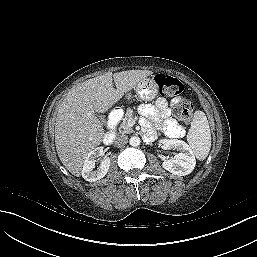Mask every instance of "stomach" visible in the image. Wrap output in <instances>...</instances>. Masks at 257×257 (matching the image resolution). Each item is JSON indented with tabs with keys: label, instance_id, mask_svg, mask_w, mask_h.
I'll list each match as a JSON object with an SVG mask.
<instances>
[{
	"label": "stomach",
	"instance_id": "obj_1",
	"mask_svg": "<svg viewBox=\"0 0 257 257\" xmlns=\"http://www.w3.org/2000/svg\"><path fill=\"white\" fill-rule=\"evenodd\" d=\"M134 91L139 99L148 102L158 94V86L152 78H144L136 85Z\"/></svg>",
	"mask_w": 257,
	"mask_h": 257
}]
</instances>
